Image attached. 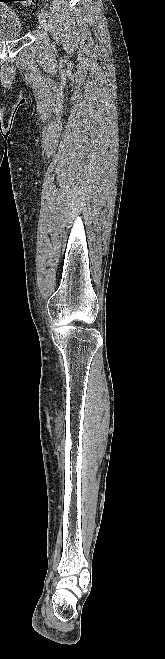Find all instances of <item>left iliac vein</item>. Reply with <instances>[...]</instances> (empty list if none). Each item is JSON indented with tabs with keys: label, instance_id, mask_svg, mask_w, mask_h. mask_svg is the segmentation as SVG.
I'll return each mask as SVG.
<instances>
[{
	"label": "left iliac vein",
	"instance_id": "4c4485c4",
	"mask_svg": "<svg viewBox=\"0 0 165 659\" xmlns=\"http://www.w3.org/2000/svg\"><path fill=\"white\" fill-rule=\"evenodd\" d=\"M38 22H39L40 27H41L44 31H47V30H48L47 19H46V16H45L44 14L40 13V14L38 15Z\"/></svg>",
	"mask_w": 165,
	"mask_h": 659
}]
</instances>
